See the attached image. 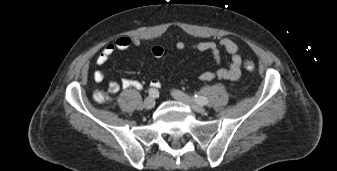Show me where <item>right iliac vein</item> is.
I'll list each match as a JSON object with an SVG mask.
<instances>
[{"mask_svg": "<svg viewBox=\"0 0 337 171\" xmlns=\"http://www.w3.org/2000/svg\"><path fill=\"white\" fill-rule=\"evenodd\" d=\"M155 106V99L153 97H147L144 100V107L146 109H152Z\"/></svg>", "mask_w": 337, "mask_h": 171, "instance_id": "right-iliac-vein-1", "label": "right iliac vein"}]
</instances>
